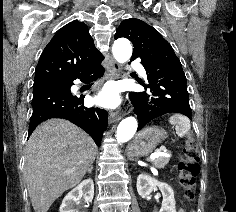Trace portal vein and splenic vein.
Here are the masks:
<instances>
[{
	"label": "portal vein and splenic vein",
	"mask_w": 236,
	"mask_h": 212,
	"mask_svg": "<svg viewBox=\"0 0 236 212\" xmlns=\"http://www.w3.org/2000/svg\"><path fill=\"white\" fill-rule=\"evenodd\" d=\"M166 148L162 147L160 149H157L154 153L151 154V159L157 158L159 156L165 155Z\"/></svg>",
	"instance_id": "obj_1"
}]
</instances>
